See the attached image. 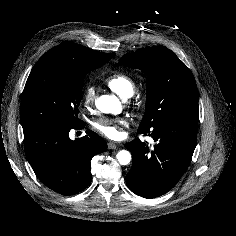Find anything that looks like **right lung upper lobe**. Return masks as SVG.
Listing matches in <instances>:
<instances>
[{
    "mask_svg": "<svg viewBox=\"0 0 236 236\" xmlns=\"http://www.w3.org/2000/svg\"><path fill=\"white\" fill-rule=\"evenodd\" d=\"M114 53H101L88 49L85 46L66 43L60 44L46 52L37 62L54 65H82L88 63L108 62Z\"/></svg>",
    "mask_w": 236,
    "mask_h": 236,
    "instance_id": "right-lung-upper-lobe-1",
    "label": "right lung upper lobe"
}]
</instances>
